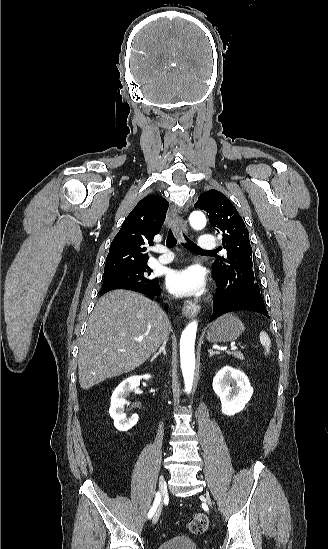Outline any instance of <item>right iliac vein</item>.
<instances>
[{
    "label": "right iliac vein",
    "instance_id": "right-iliac-vein-1",
    "mask_svg": "<svg viewBox=\"0 0 328 549\" xmlns=\"http://www.w3.org/2000/svg\"><path fill=\"white\" fill-rule=\"evenodd\" d=\"M159 489H160V495L161 497H163L167 493V485H166L165 477L163 475H161L159 478ZM160 514H161V508L159 507L152 518L153 523H156L158 521Z\"/></svg>",
    "mask_w": 328,
    "mask_h": 549
}]
</instances>
